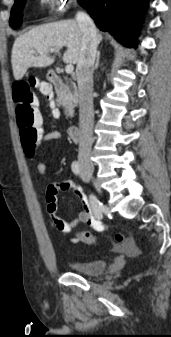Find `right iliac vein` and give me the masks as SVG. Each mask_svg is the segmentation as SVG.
<instances>
[{
  "mask_svg": "<svg viewBox=\"0 0 171 337\" xmlns=\"http://www.w3.org/2000/svg\"><path fill=\"white\" fill-rule=\"evenodd\" d=\"M84 171L85 173L87 174V176H89L90 178H92L94 180V169L90 166H84ZM94 183L96 185V188L98 189V191H100V188L98 187V184L95 182L94 180Z\"/></svg>",
  "mask_w": 171,
  "mask_h": 337,
  "instance_id": "right-iliac-vein-1",
  "label": "right iliac vein"
}]
</instances>
